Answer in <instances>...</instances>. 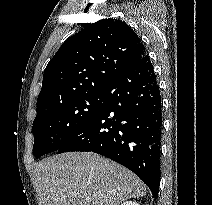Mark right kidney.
Segmentation results:
<instances>
[{
	"label": "right kidney",
	"instance_id": "obj_1",
	"mask_svg": "<svg viewBox=\"0 0 212 205\" xmlns=\"http://www.w3.org/2000/svg\"><path fill=\"white\" fill-rule=\"evenodd\" d=\"M121 205H139V204L136 202H133V201H126V202L122 203Z\"/></svg>",
	"mask_w": 212,
	"mask_h": 205
}]
</instances>
